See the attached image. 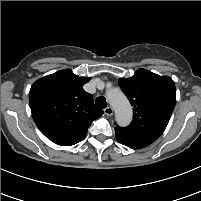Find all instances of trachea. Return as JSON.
I'll list each match as a JSON object with an SVG mask.
<instances>
[{
    "mask_svg": "<svg viewBox=\"0 0 201 201\" xmlns=\"http://www.w3.org/2000/svg\"><path fill=\"white\" fill-rule=\"evenodd\" d=\"M95 104L98 108L104 109L107 106L106 99L103 96H99L95 100Z\"/></svg>",
    "mask_w": 201,
    "mask_h": 201,
    "instance_id": "1",
    "label": "trachea"
}]
</instances>
